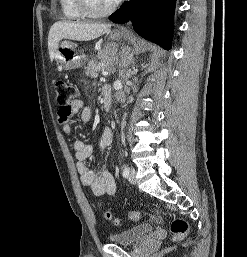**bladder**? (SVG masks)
Returning <instances> with one entry per match:
<instances>
[{"label": "bladder", "instance_id": "31cf9c89", "mask_svg": "<svg viewBox=\"0 0 247 257\" xmlns=\"http://www.w3.org/2000/svg\"><path fill=\"white\" fill-rule=\"evenodd\" d=\"M152 231L153 226L151 224H140L130 229L110 234L108 240L118 245H135L143 241Z\"/></svg>", "mask_w": 247, "mask_h": 257}]
</instances>
